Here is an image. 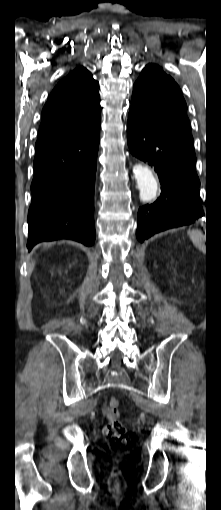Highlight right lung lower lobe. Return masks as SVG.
I'll return each instance as SVG.
<instances>
[{"label":"right lung lower lobe","mask_w":221,"mask_h":510,"mask_svg":"<svg viewBox=\"0 0 221 510\" xmlns=\"http://www.w3.org/2000/svg\"><path fill=\"white\" fill-rule=\"evenodd\" d=\"M100 119L88 129L36 146L27 248L43 241H95L94 187Z\"/></svg>","instance_id":"obj_1"}]
</instances>
